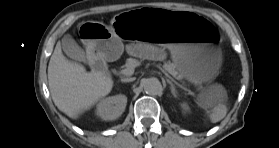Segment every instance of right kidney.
Masks as SVG:
<instances>
[{"label": "right kidney", "mask_w": 279, "mask_h": 148, "mask_svg": "<svg viewBox=\"0 0 279 148\" xmlns=\"http://www.w3.org/2000/svg\"><path fill=\"white\" fill-rule=\"evenodd\" d=\"M127 97L119 94L103 99L98 105L96 114L103 120H115L124 112Z\"/></svg>", "instance_id": "obj_1"}]
</instances>
